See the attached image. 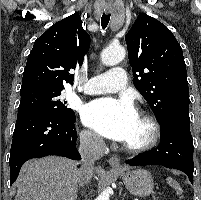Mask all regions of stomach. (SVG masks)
I'll return each instance as SVG.
<instances>
[{
  "instance_id": "stomach-1",
  "label": "stomach",
  "mask_w": 201,
  "mask_h": 200,
  "mask_svg": "<svg viewBox=\"0 0 201 200\" xmlns=\"http://www.w3.org/2000/svg\"><path fill=\"white\" fill-rule=\"evenodd\" d=\"M127 189L134 195L146 197L153 191L154 183L150 173L144 169L118 171Z\"/></svg>"
}]
</instances>
